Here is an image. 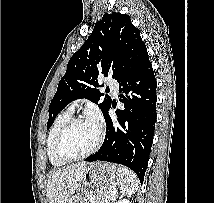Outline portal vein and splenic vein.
Returning a JSON list of instances; mask_svg holds the SVG:
<instances>
[{"label": "portal vein and splenic vein", "mask_w": 214, "mask_h": 203, "mask_svg": "<svg viewBox=\"0 0 214 203\" xmlns=\"http://www.w3.org/2000/svg\"><path fill=\"white\" fill-rule=\"evenodd\" d=\"M111 194H112L113 196H115V195H116V190H115V189H111Z\"/></svg>", "instance_id": "1"}]
</instances>
